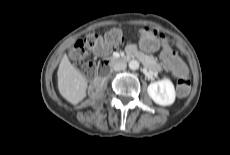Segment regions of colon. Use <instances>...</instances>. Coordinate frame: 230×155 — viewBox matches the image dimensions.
<instances>
[{
    "label": "colon",
    "instance_id": "5ec220e1",
    "mask_svg": "<svg viewBox=\"0 0 230 155\" xmlns=\"http://www.w3.org/2000/svg\"><path fill=\"white\" fill-rule=\"evenodd\" d=\"M146 38H155L157 41H161V37L158 31L150 30L145 36ZM124 41L123 32L120 28L110 29L105 34V39L96 33L87 35L84 39L75 43L72 49V55L78 61L80 70L88 75L94 74V64L86 59L87 50L92 49L95 51H102L104 43H108L114 47L120 46ZM190 89V81L187 76L186 69L182 66L178 72L177 80V93L179 96H186Z\"/></svg>",
    "mask_w": 230,
    "mask_h": 155
}]
</instances>
